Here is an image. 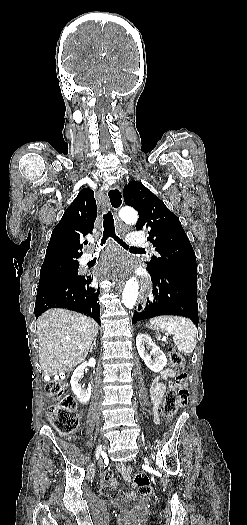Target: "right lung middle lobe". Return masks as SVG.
Here are the masks:
<instances>
[{
	"mask_svg": "<svg viewBox=\"0 0 247 525\" xmlns=\"http://www.w3.org/2000/svg\"><path fill=\"white\" fill-rule=\"evenodd\" d=\"M79 262L76 259L62 260L40 271L39 285L46 281L63 278L76 277Z\"/></svg>",
	"mask_w": 247,
	"mask_h": 525,
	"instance_id": "obj_1",
	"label": "right lung middle lobe"
}]
</instances>
